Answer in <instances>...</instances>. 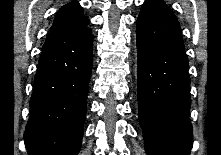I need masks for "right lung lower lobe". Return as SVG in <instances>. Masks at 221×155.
Returning a JSON list of instances; mask_svg holds the SVG:
<instances>
[{"label": "right lung lower lobe", "instance_id": "98d812e1", "mask_svg": "<svg viewBox=\"0 0 221 155\" xmlns=\"http://www.w3.org/2000/svg\"><path fill=\"white\" fill-rule=\"evenodd\" d=\"M88 23L50 32L43 45L24 132L30 155H77L93 61Z\"/></svg>", "mask_w": 221, "mask_h": 155}]
</instances>
